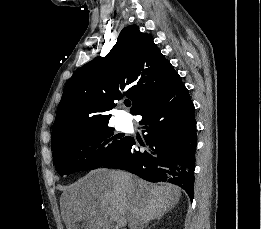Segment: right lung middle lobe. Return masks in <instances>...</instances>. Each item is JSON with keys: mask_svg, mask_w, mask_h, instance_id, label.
I'll list each match as a JSON object with an SVG mask.
<instances>
[{"mask_svg": "<svg viewBox=\"0 0 261 229\" xmlns=\"http://www.w3.org/2000/svg\"><path fill=\"white\" fill-rule=\"evenodd\" d=\"M108 123L69 128V136L53 150L60 176L103 167L123 151L129 138L113 136Z\"/></svg>", "mask_w": 261, "mask_h": 229, "instance_id": "dd1d6c3e", "label": "right lung middle lobe"}]
</instances>
